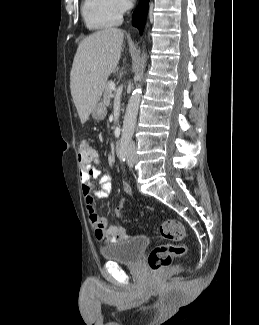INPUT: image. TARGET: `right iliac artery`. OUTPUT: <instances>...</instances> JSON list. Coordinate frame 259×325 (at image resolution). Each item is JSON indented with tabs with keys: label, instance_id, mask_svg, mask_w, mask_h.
I'll list each match as a JSON object with an SVG mask.
<instances>
[{
	"label": "right iliac artery",
	"instance_id": "obj_1",
	"mask_svg": "<svg viewBox=\"0 0 259 325\" xmlns=\"http://www.w3.org/2000/svg\"><path fill=\"white\" fill-rule=\"evenodd\" d=\"M127 148H128V143L124 142L123 147L119 153V159L121 161H125L126 160V156H127Z\"/></svg>",
	"mask_w": 259,
	"mask_h": 325
}]
</instances>
